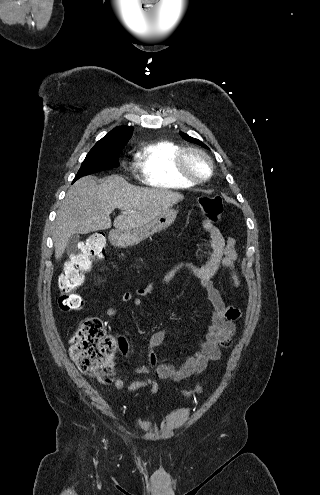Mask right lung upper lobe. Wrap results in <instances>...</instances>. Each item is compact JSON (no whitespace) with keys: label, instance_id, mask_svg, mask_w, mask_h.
<instances>
[{"label":"right lung upper lobe","instance_id":"1","mask_svg":"<svg viewBox=\"0 0 320 495\" xmlns=\"http://www.w3.org/2000/svg\"><path fill=\"white\" fill-rule=\"evenodd\" d=\"M133 128L129 126H119L110 131L105 137L99 140L97 147H124L132 136Z\"/></svg>","mask_w":320,"mask_h":495}]
</instances>
